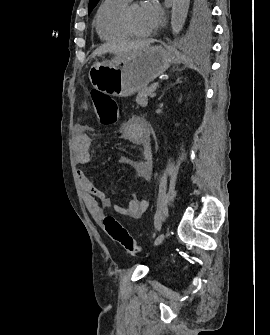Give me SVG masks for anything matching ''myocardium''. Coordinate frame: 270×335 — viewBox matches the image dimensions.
Listing matches in <instances>:
<instances>
[{
    "label": "myocardium",
    "instance_id": "f54148a6",
    "mask_svg": "<svg viewBox=\"0 0 270 335\" xmlns=\"http://www.w3.org/2000/svg\"><path fill=\"white\" fill-rule=\"evenodd\" d=\"M132 6L134 5H128L127 7H125L121 13H120V16H119V23H120V26L122 28V30L127 34L129 35L130 37H135V38H139L141 37L140 34H136L134 33L130 26H129V23H128V14L130 12V9L132 8Z\"/></svg>",
    "mask_w": 270,
    "mask_h": 335
}]
</instances>
